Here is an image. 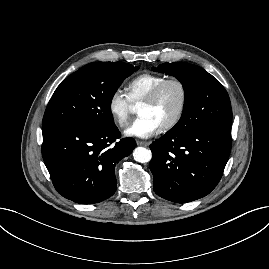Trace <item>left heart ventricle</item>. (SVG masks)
Returning <instances> with one entry per match:
<instances>
[{
	"label": "left heart ventricle",
	"instance_id": "1",
	"mask_svg": "<svg viewBox=\"0 0 269 269\" xmlns=\"http://www.w3.org/2000/svg\"><path fill=\"white\" fill-rule=\"evenodd\" d=\"M180 104L181 91L177 85L171 84L162 91L155 103L151 105L141 104L138 113L140 116L152 117L162 127L173 119Z\"/></svg>",
	"mask_w": 269,
	"mask_h": 269
}]
</instances>
